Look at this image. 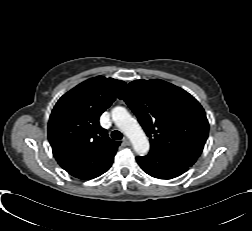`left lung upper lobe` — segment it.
<instances>
[{
  "mask_svg": "<svg viewBox=\"0 0 252 231\" xmlns=\"http://www.w3.org/2000/svg\"><path fill=\"white\" fill-rule=\"evenodd\" d=\"M118 97L137 116L151 150L200 156L209 124L204 109L188 92L162 80H135Z\"/></svg>",
  "mask_w": 252,
  "mask_h": 231,
  "instance_id": "5c2ea615",
  "label": "left lung upper lobe"
}]
</instances>
